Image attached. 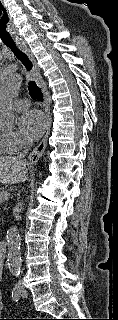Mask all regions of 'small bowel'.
I'll use <instances>...</instances> for the list:
<instances>
[{
  "mask_svg": "<svg viewBox=\"0 0 118 320\" xmlns=\"http://www.w3.org/2000/svg\"><path fill=\"white\" fill-rule=\"evenodd\" d=\"M1 280H2V263H0V282ZM2 310H3V302H2V294L0 291V315L2 313Z\"/></svg>",
  "mask_w": 118,
  "mask_h": 320,
  "instance_id": "small-bowel-1",
  "label": "small bowel"
}]
</instances>
